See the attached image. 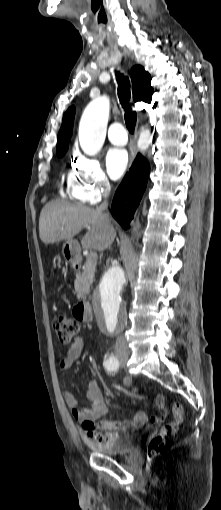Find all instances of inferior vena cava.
Returning a JSON list of instances; mask_svg holds the SVG:
<instances>
[{
    "instance_id": "1",
    "label": "inferior vena cava",
    "mask_w": 221,
    "mask_h": 510,
    "mask_svg": "<svg viewBox=\"0 0 221 510\" xmlns=\"http://www.w3.org/2000/svg\"><path fill=\"white\" fill-rule=\"evenodd\" d=\"M110 190H111L110 185H106L105 189H104V193H103L105 200L99 207L96 208V210L101 214L104 222L108 226H110L111 223H110L109 215L105 211L108 208L107 198L110 194ZM127 350H128V347H127L126 339L123 334H120L116 339L115 351L116 352H126Z\"/></svg>"
}]
</instances>
